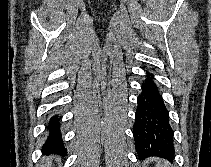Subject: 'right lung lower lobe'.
<instances>
[{"instance_id": "1", "label": "right lung lower lobe", "mask_w": 211, "mask_h": 167, "mask_svg": "<svg viewBox=\"0 0 211 167\" xmlns=\"http://www.w3.org/2000/svg\"><path fill=\"white\" fill-rule=\"evenodd\" d=\"M60 118L57 114L51 117L49 124H48V132L49 135L47 137L46 143L43 145V150L45 152H52V151H66L64 148L62 135L60 131Z\"/></svg>"}]
</instances>
